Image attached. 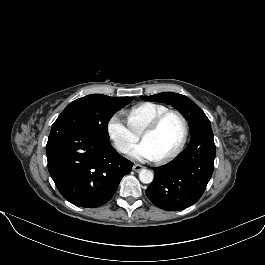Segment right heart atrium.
Listing matches in <instances>:
<instances>
[{"label":"right heart atrium","instance_id":"d8ad5b80","mask_svg":"<svg viewBox=\"0 0 265 265\" xmlns=\"http://www.w3.org/2000/svg\"><path fill=\"white\" fill-rule=\"evenodd\" d=\"M106 127L110 139L120 153L127 152L138 140V134L131 129L119 113H114L109 117Z\"/></svg>","mask_w":265,"mask_h":265}]
</instances>
